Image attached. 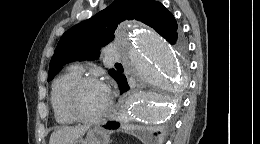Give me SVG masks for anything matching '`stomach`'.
<instances>
[{
  "instance_id": "0dacf381",
  "label": "stomach",
  "mask_w": 260,
  "mask_h": 144,
  "mask_svg": "<svg viewBox=\"0 0 260 144\" xmlns=\"http://www.w3.org/2000/svg\"><path fill=\"white\" fill-rule=\"evenodd\" d=\"M109 141V133L100 127H95L87 131L85 138L76 139L71 144H109Z\"/></svg>"
}]
</instances>
